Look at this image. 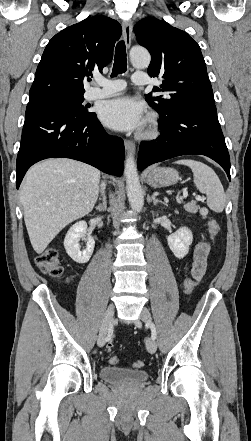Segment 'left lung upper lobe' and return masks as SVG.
Segmentation results:
<instances>
[{
    "label": "left lung upper lobe",
    "mask_w": 251,
    "mask_h": 441,
    "mask_svg": "<svg viewBox=\"0 0 251 441\" xmlns=\"http://www.w3.org/2000/svg\"><path fill=\"white\" fill-rule=\"evenodd\" d=\"M138 43L151 53L148 74L161 76L163 85L146 95L161 119L185 108L216 107L206 64L199 45L185 32L165 21L147 17L134 26Z\"/></svg>",
    "instance_id": "left-lung-upper-lobe-1"
}]
</instances>
